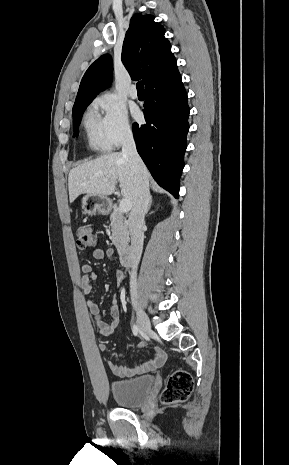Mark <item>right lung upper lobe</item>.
Instances as JSON below:
<instances>
[{
    "label": "right lung upper lobe",
    "mask_w": 289,
    "mask_h": 465,
    "mask_svg": "<svg viewBox=\"0 0 289 465\" xmlns=\"http://www.w3.org/2000/svg\"><path fill=\"white\" fill-rule=\"evenodd\" d=\"M165 29L154 22L153 15L136 13L130 20L123 42L121 59L132 79L139 77L145 89L168 83L179 77L177 61L171 45L164 37ZM112 59L105 54L85 72L75 100H93L111 80Z\"/></svg>",
    "instance_id": "right-lung-upper-lobe-1"
}]
</instances>
